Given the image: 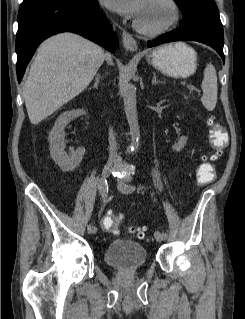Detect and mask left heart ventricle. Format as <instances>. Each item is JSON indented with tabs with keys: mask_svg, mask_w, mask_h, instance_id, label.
Returning <instances> with one entry per match:
<instances>
[{
	"mask_svg": "<svg viewBox=\"0 0 245 319\" xmlns=\"http://www.w3.org/2000/svg\"><path fill=\"white\" fill-rule=\"evenodd\" d=\"M172 17V11L164 0H147L138 21L149 27H157L167 23Z\"/></svg>",
	"mask_w": 245,
	"mask_h": 319,
	"instance_id": "left-heart-ventricle-1",
	"label": "left heart ventricle"
}]
</instances>
